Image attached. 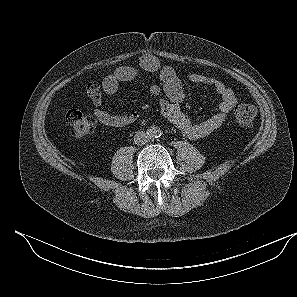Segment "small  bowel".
<instances>
[{
    "instance_id": "1",
    "label": "small bowel",
    "mask_w": 297,
    "mask_h": 297,
    "mask_svg": "<svg viewBox=\"0 0 297 297\" xmlns=\"http://www.w3.org/2000/svg\"><path fill=\"white\" fill-rule=\"evenodd\" d=\"M142 71L158 74L162 87L159 85L151 86L150 94L157 99L163 118L177 127L190 140L202 139L222 126L237 103L234 91L222 81L211 76L190 73L187 75L188 82L209 86L220 97L214 114L201 122L191 121L182 110V103L186 96L183 80L174 68L162 66L156 57L145 54L141 56L139 66L119 67L106 76L101 84L94 82L88 84L87 93L94 105V116L101 124L110 127H124L138 120L137 112L112 114L104 110L102 105L103 94L116 93L120 84L134 81ZM163 91L167 99L163 97Z\"/></svg>"
}]
</instances>
